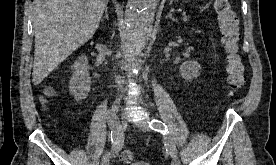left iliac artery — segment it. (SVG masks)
Instances as JSON below:
<instances>
[{
    "instance_id": "44dca946",
    "label": "left iliac artery",
    "mask_w": 276,
    "mask_h": 165,
    "mask_svg": "<svg viewBox=\"0 0 276 165\" xmlns=\"http://www.w3.org/2000/svg\"><path fill=\"white\" fill-rule=\"evenodd\" d=\"M149 127L152 130H155V131L160 132L161 134H163L164 144H165L166 150L168 151V153L171 156L174 155V154H177L176 146H175L172 138L169 136L167 126L162 121L154 119L149 124Z\"/></svg>"
}]
</instances>
